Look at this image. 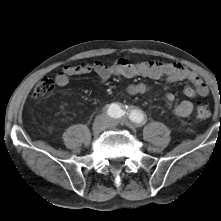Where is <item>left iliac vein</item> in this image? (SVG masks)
<instances>
[{
    "label": "left iliac vein",
    "instance_id": "obj_1",
    "mask_svg": "<svg viewBox=\"0 0 221 221\" xmlns=\"http://www.w3.org/2000/svg\"><path fill=\"white\" fill-rule=\"evenodd\" d=\"M124 122L126 123V124H128V125H134L133 123H130V122H128V121H126V120H124ZM117 124H118V121L117 120H110L109 121V124H108V127L109 128H114V127H116L117 126Z\"/></svg>",
    "mask_w": 221,
    "mask_h": 221
}]
</instances>
